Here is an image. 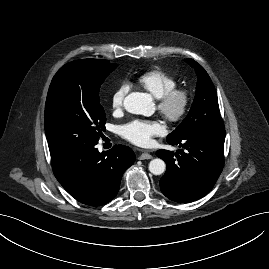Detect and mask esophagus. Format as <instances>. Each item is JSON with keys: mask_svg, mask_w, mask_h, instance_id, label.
<instances>
[{"mask_svg": "<svg viewBox=\"0 0 269 269\" xmlns=\"http://www.w3.org/2000/svg\"><path fill=\"white\" fill-rule=\"evenodd\" d=\"M148 159H152V155L149 154L148 152H143V153L139 156V160H148Z\"/></svg>", "mask_w": 269, "mask_h": 269, "instance_id": "obj_1", "label": "esophagus"}]
</instances>
